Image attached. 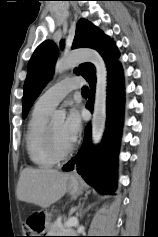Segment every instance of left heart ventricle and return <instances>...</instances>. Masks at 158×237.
I'll return each mask as SVG.
<instances>
[{"label": "left heart ventricle", "mask_w": 158, "mask_h": 237, "mask_svg": "<svg viewBox=\"0 0 158 237\" xmlns=\"http://www.w3.org/2000/svg\"><path fill=\"white\" fill-rule=\"evenodd\" d=\"M62 121L52 122L50 124L53 141L59 152H65L71 147V144L64 138L62 134Z\"/></svg>", "instance_id": "left-heart-ventricle-1"}]
</instances>
